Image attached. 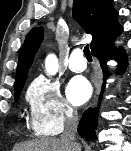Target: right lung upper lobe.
<instances>
[{"label": "right lung upper lobe", "instance_id": "right-lung-upper-lobe-1", "mask_svg": "<svg viewBox=\"0 0 131 151\" xmlns=\"http://www.w3.org/2000/svg\"><path fill=\"white\" fill-rule=\"evenodd\" d=\"M113 0H74L73 17L92 35L90 48L106 42L122 30L117 21L118 12L112 6ZM43 41V28H33L24 41L14 83V90L24 86L34 55Z\"/></svg>", "mask_w": 131, "mask_h": 151}]
</instances>
